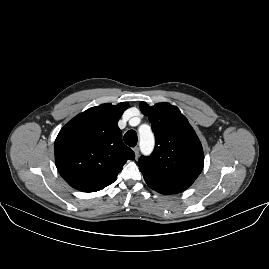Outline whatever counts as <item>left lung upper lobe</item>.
<instances>
[{
  "label": "left lung upper lobe",
  "mask_w": 269,
  "mask_h": 269,
  "mask_svg": "<svg viewBox=\"0 0 269 269\" xmlns=\"http://www.w3.org/2000/svg\"><path fill=\"white\" fill-rule=\"evenodd\" d=\"M155 134L153 153L141 156L138 165L144 179L191 186L204 166L200 140L180 110L169 103H140Z\"/></svg>",
  "instance_id": "obj_1"
}]
</instances>
